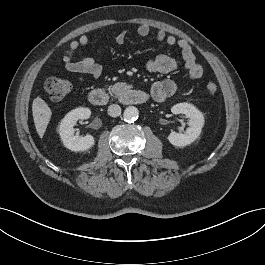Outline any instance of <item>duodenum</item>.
I'll return each mask as SVG.
<instances>
[{"instance_id":"obj_1","label":"duodenum","mask_w":265,"mask_h":265,"mask_svg":"<svg viewBox=\"0 0 265 265\" xmlns=\"http://www.w3.org/2000/svg\"><path fill=\"white\" fill-rule=\"evenodd\" d=\"M89 102L94 106H104L110 101V95L102 89H94L89 93ZM119 100L128 105H142L149 100V95L135 88H129L120 94Z\"/></svg>"}]
</instances>
